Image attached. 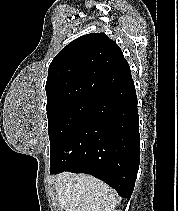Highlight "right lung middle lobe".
Segmentation results:
<instances>
[{
  "instance_id": "dd1d6c3e",
  "label": "right lung middle lobe",
  "mask_w": 178,
  "mask_h": 211,
  "mask_svg": "<svg viewBox=\"0 0 178 211\" xmlns=\"http://www.w3.org/2000/svg\"><path fill=\"white\" fill-rule=\"evenodd\" d=\"M97 100L76 99L47 108L50 155L86 116Z\"/></svg>"
}]
</instances>
